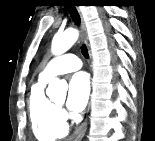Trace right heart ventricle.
<instances>
[{
	"label": "right heart ventricle",
	"mask_w": 155,
	"mask_h": 141,
	"mask_svg": "<svg viewBox=\"0 0 155 141\" xmlns=\"http://www.w3.org/2000/svg\"><path fill=\"white\" fill-rule=\"evenodd\" d=\"M46 82L40 78L31 87L28 110L35 137L40 141H53L66 136L68 126L59 108L46 96Z\"/></svg>",
	"instance_id": "e07e8e85"
}]
</instances>
